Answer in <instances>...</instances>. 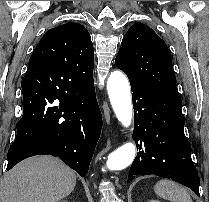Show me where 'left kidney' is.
Segmentation results:
<instances>
[{
	"label": "left kidney",
	"mask_w": 209,
	"mask_h": 202,
	"mask_svg": "<svg viewBox=\"0 0 209 202\" xmlns=\"http://www.w3.org/2000/svg\"><path fill=\"white\" fill-rule=\"evenodd\" d=\"M148 202H160L159 200H150Z\"/></svg>",
	"instance_id": "obj_1"
}]
</instances>
